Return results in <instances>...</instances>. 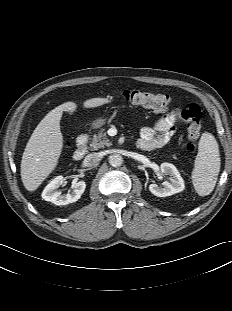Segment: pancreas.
<instances>
[{"mask_svg": "<svg viewBox=\"0 0 232 311\" xmlns=\"http://www.w3.org/2000/svg\"><path fill=\"white\" fill-rule=\"evenodd\" d=\"M90 149L91 150H98L100 148H103L105 146H111L112 143L107 138L106 132H104V129H101L98 134H95L92 138H90ZM173 158L176 159L175 155H173Z\"/></svg>", "mask_w": 232, "mask_h": 311, "instance_id": "cf45deb5", "label": "pancreas"}]
</instances>
